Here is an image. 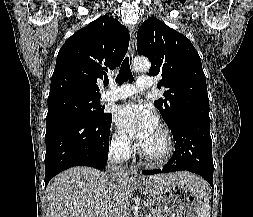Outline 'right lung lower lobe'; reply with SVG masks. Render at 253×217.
<instances>
[{
    "mask_svg": "<svg viewBox=\"0 0 253 217\" xmlns=\"http://www.w3.org/2000/svg\"><path fill=\"white\" fill-rule=\"evenodd\" d=\"M112 114L102 120L67 116L46 122L45 187L73 166L105 167Z\"/></svg>",
    "mask_w": 253,
    "mask_h": 217,
    "instance_id": "obj_1",
    "label": "right lung lower lobe"
}]
</instances>
